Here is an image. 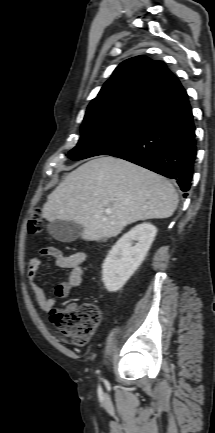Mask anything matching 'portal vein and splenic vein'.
<instances>
[{"mask_svg": "<svg viewBox=\"0 0 215 433\" xmlns=\"http://www.w3.org/2000/svg\"><path fill=\"white\" fill-rule=\"evenodd\" d=\"M105 213H106V214H110V213H111V210H110V209H107V210H105Z\"/></svg>", "mask_w": 215, "mask_h": 433, "instance_id": "1", "label": "portal vein and splenic vein"}]
</instances>
